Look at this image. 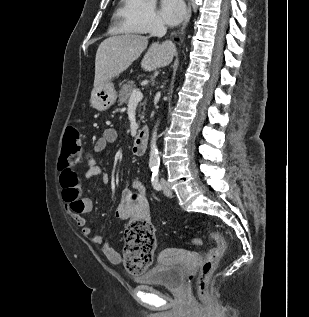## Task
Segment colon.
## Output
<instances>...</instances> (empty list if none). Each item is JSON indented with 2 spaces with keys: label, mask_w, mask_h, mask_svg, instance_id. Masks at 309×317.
I'll use <instances>...</instances> for the list:
<instances>
[{
  "label": "colon",
  "mask_w": 309,
  "mask_h": 317,
  "mask_svg": "<svg viewBox=\"0 0 309 317\" xmlns=\"http://www.w3.org/2000/svg\"><path fill=\"white\" fill-rule=\"evenodd\" d=\"M81 150L79 130L74 126L67 127L59 159L61 173L72 168L79 160ZM60 180L65 183V175L61 174ZM209 237L215 245L207 252L197 277V293L202 300L207 298L209 280L227 247L224 237L218 232H209ZM192 242L195 246L202 243L200 238ZM156 245L153 225L145 219L131 220L124 231L123 258L128 271L133 274L146 271L152 264Z\"/></svg>",
  "instance_id": "obj_1"
}]
</instances>
